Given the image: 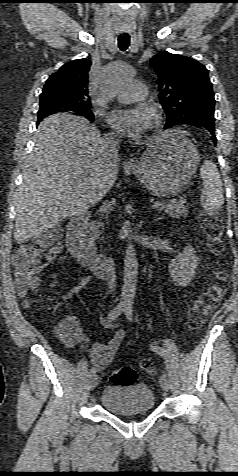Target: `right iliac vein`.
Returning a JSON list of instances; mask_svg holds the SVG:
<instances>
[{"label":"right iliac vein","mask_w":238,"mask_h":476,"mask_svg":"<svg viewBox=\"0 0 238 476\" xmlns=\"http://www.w3.org/2000/svg\"><path fill=\"white\" fill-rule=\"evenodd\" d=\"M98 382H99L98 376L96 374L91 375L89 379V388L91 390L95 389V387L98 385Z\"/></svg>","instance_id":"63e3f726"}]
</instances>
